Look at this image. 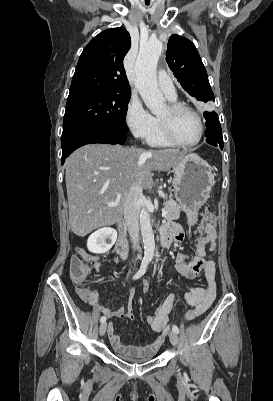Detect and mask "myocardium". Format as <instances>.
I'll list each match as a JSON object with an SVG mask.
<instances>
[{
	"label": "myocardium",
	"mask_w": 273,
	"mask_h": 401,
	"mask_svg": "<svg viewBox=\"0 0 273 401\" xmlns=\"http://www.w3.org/2000/svg\"><path fill=\"white\" fill-rule=\"evenodd\" d=\"M168 107L171 111H187L188 113L195 116L200 124V135L193 142H183L175 135L171 122L159 116V121L165 137L169 141L180 147H193L199 144L204 139L206 133L205 122L201 114L197 112L194 108L180 102H170L168 104Z\"/></svg>",
	"instance_id": "1"
}]
</instances>
